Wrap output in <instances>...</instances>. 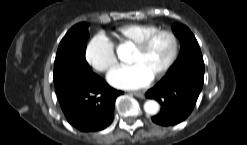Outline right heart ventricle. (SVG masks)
<instances>
[{
    "label": "right heart ventricle",
    "instance_id": "e07e8e85",
    "mask_svg": "<svg viewBox=\"0 0 247 145\" xmlns=\"http://www.w3.org/2000/svg\"><path fill=\"white\" fill-rule=\"evenodd\" d=\"M159 27L147 23H130L122 25L112 32V35L121 44L135 45L150 33L158 30Z\"/></svg>",
    "mask_w": 247,
    "mask_h": 145
}]
</instances>
